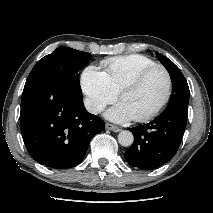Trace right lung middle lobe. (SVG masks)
Segmentation results:
<instances>
[{
	"label": "right lung middle lobe",
	"mask_w": 213,
	"mask_h": 213,
	"mask_svg": "<svg viewBox=\"0 0 213 213\" xmlns=\"http://www.w3.org/2000/svg\"><path fill=\"white\" fill-rule=\"evenodd\" d=\"M90 58V53L59 47L35 64L27 81L41 77L52 78L66 85L76 95L82 96L78 72Z\"/></svg>",
	"instance_id": "obj_1"
}]
</instances>
